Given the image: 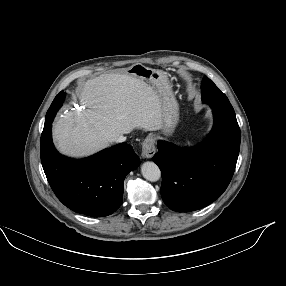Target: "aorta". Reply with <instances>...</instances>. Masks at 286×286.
I'll use <instances>...</instances> for the list:
<instances>
[{
	"label": "aorta",
	"mask_w": 286,
	"mask_h": 286,
	"mask_svg": "<svg viewBox=\"0 0 286 286\" xmlns=\"http://www.w3.org/2000/svg\"><path fill=\"white\" fill-rule=\"evenodd\" d=\"M143 177L151 182L158 181L161 177V171L154 162H145L141 167Z\"/></svg>",
	"instance_id": "obj_1"
}]
</instances>
